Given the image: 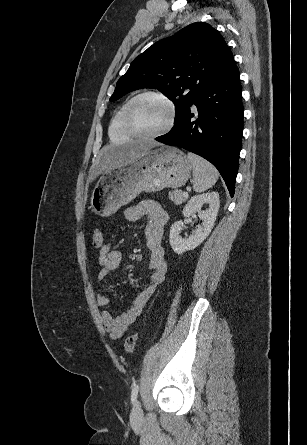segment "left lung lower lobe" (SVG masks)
Returning <instances> with one entry per match:
<instances>
[{
    "instance_id": "0a47b994",
    "label": "left lung lower lobe",
    "mask_w": 307,
    "mask_h": 445,
    "mask_svg": "<svg viewBox=\"0 0 307 445\" xmlns=\"http://www.w3.org/2000/svg\"><path fill=\"white\" fill-rule=\"evenodd\" d=\"M196 105L197 119L190 108ZM172 130L155 140L179 146L210 161L233 197L243 131V105L238 68L232 59L224 72L193 101Z\"/></svg>"
}]
</instances>
